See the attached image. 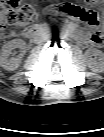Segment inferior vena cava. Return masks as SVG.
Here are the masks:
<instances>
[{"label":"inferior vena cava","mask_w":104,"mask_h":137,"mask_svg":"<svg viewBox=\"0 0 104 137\" xmlns=\"http://www.w3.org/2000/svg\"><path fill=\"white\" fill-rule=\"evenodd\" d=\"M35 39H36V42L39 43V42L43 41L44 36H43V34L38 33V34H36Z\"/></svg>","instance_id":"inferior-vena-cava-1"}]
</instances>
